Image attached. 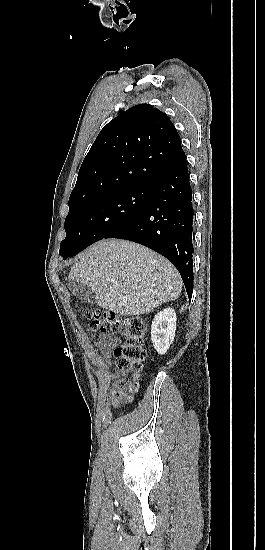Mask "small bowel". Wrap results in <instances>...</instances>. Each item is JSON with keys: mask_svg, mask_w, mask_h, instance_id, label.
<instances>
[{"mask_svg": "<svg viewBox=\"0 0 265 550\" xmlns=\"http://www.w3.org/2000/svg\"><path fill=\"white\" fill-rule=\"evenodd\" d=\"M119 343V339L109 336V335H100L95 345L100 350L102 356L106 359L110 358L109 348L113 345H117ZM93 360H96V356L94 354L91 355Z\"/></svg>", "mask_w": 265, "mask_h": 550, "instance_id": "1", "label": "small bowel"}]
</instances>
